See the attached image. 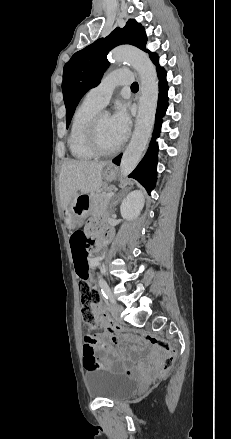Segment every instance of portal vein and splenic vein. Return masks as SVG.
<instances>
[{"label": "portal vein and splenic vein", "instance_id": "obj_1", "mask_svg": "<svg viewBox=\"0 0 231 439\" xmlns=\"http://www.w3.org/2000/svg\"><path fill=\"white\" fill-rule=\"evenodd\" d=\"M113 195H114V193L111 192V193L106 194V197L110 198V197H112Z\"/></svg>", "mask_w": 231, "mask_h": 439}]
</instances>
